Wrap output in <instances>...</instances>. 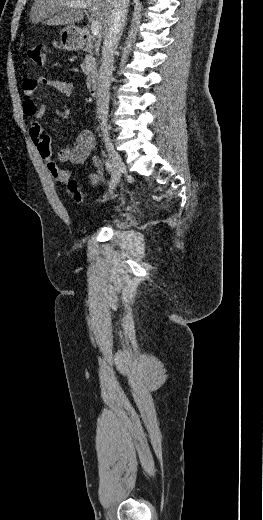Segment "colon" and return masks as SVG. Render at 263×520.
<instances>
[{
  "mask_svg": "<svg viewBox=\"0 0 263 520\" xmlns=\"http://www.w3.org/2000/svg\"><path fill=\"white\" fill-rule=\"evenodd\" d=\"M47 47L44 43H37L27 50V57L37 65H43L46 60ZM68 191L77 203L82 201V195L75 180L67 182Z\"/></svg>",
  "mask_w": 263,
  "mask_h": 520,
  "instance_id": "colon-1",
  "label": "colon"
}]
</instances>
